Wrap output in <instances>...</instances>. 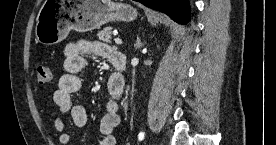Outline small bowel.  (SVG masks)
Instances as JSON below:
<instances>
[{"label":"small bowel","mask_w":276,"mask_h":145,"mask_svg":"<svg viewBox=\"0 0 276 145\" xmlns=\"http://www.w3.org/2000/svg\"><path fill=\"white\" fill-rule=\"evenodd\" d=\"M115 50L106 43L100 41L78 40L71 42L64 48L65 60L62 68L64 74L58 82V89L55 91L53 99L58 106L60 114L54 118V127L59 133V142L62 145H69L71 136L64 131V114L69 113L76 127H84L88 117L84 106L75 104L72 94L81 88V78L79 73L85 67L86 58L89 56H101L111 60ZM111 78V77H110ZM108 80V92L110 97L105 102V115L100 124L102 140L100 145H116L114 130L120 123V103L122 92L111 89Z\"/></svg>","instance_id":"1"}]
</instances>
